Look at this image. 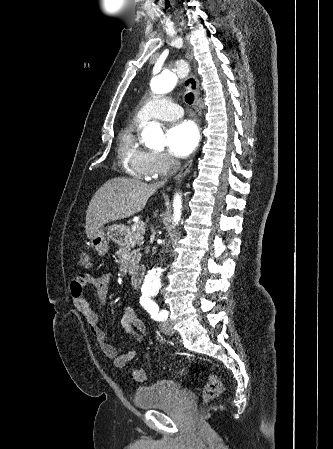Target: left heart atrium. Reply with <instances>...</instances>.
Wrapping results in <instances>:
<instances>
[{"label":"left heart atrium","instance_id":"left-heart-atrium-1","mask_svg":"<svg viewBox=\"0 0 333 449\" xmlns=\"http://www.w3.org/2000/svg\"><path fill=\"white\" fill-rule=\"evenodd\" d=\"M199 142V131L192 121H181L174 124L167 132V143L171 154L176 157H187Z\"/></svg>","mask_w":333,"mask_h":449}]
</instances>
